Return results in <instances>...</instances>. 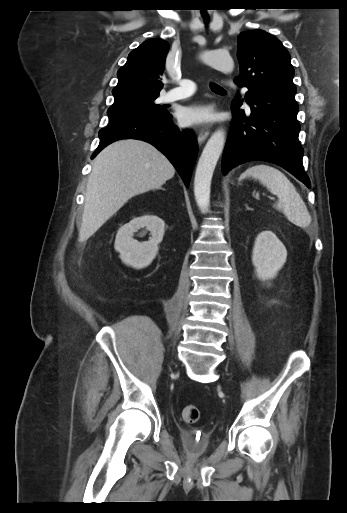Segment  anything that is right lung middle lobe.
<instances>
[{"mask_svg":"<svg viewBox=\"0 0 347 513\" xmlns=\"http://www.w3.org/2000/svg\"><path fill=\"white\" fill-rule=\"evenodd\" d=\"M157 97L158 96L135 98L113 104L107 111L109 121L117 118L137 115L159 118L167 111L162 106L155 104L154 101Z\"/></svg>","mask_w":347,"mask_h":513,"instance_id":"1","label":"right lung middle lobe"}]
</instances>
